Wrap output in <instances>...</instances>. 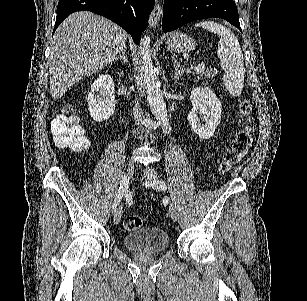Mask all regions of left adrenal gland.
<instances>
[{
  "mask_svg": "<svg viewBox=\"0 0 307 301\" xmlns=\"http://www.w3.org/2000/svg\"><path fill=\"white\" fill-rule=\"evenodd\" d=\"M173 66L175 68V82L179 80V76H181V74H184V72L188 74L189 72V70H186V68H182V66H180V62H178L177 58H175Z\"/></svg>",
  "mask_w": 307,
  "mask_h": 301,
  "instance_id": "obj_1",
  "label": "left adrenal gland"
}]
</instances>
